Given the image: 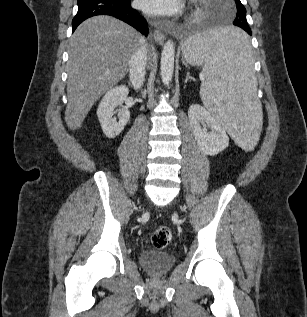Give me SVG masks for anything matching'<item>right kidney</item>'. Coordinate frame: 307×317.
Segmentation results:
<instances>
[{"instance_id": "obj_1", "label": "right kidney", "mask_w": 307, "mask_h": 317, "mask_svg": "<svg viewBox=\"0 0 307 317\" xmlns=\"http://www.w3.org/2000/svg\"><path fill=\"white\" fill-rule=\"evenodd\" d=\"M128 93L129 89L124 85L111 88L99 103L97 116L103 133L108 138H115L119 135L130 119V111L123 106ZM118 106L122 108L117 121L113 114L114 109Z\"/></svg>"}]
</instances>
